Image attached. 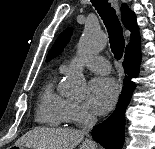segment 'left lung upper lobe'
<instances>
[{"mask_svg":"<svg viewBox=\"0 0 155 149\" xmlns=\"http://www.w3.org/2000/svg\"><path fill=\"white\" fill-rule=\"evenodd\" d=\"M71 35H72V28H67L59 35V37L57 38L56 42L54 43V45L52 46L51 50L47 55L46 58L47 61L52 60L54 57H56L63 51V49L69 42Z\"/></svg>","mask_w":155,"mask_h":149,"instance_id":"obj_1","label":"left lung upper lobe"}]
</instances>
